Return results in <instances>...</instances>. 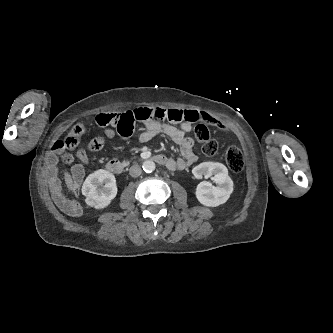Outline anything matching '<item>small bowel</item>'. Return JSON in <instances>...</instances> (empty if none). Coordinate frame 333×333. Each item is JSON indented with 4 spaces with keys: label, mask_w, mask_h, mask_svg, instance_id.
Listing matches in <instances>:
<instances>
[{
    "label": "small bowel",
    "mask_w": 333,
    "mask_h": 333,
    "mask_svg": "<svg viewBox=\"0 0 333 333\" xmlns=\"http://www.w3.org/2000/svg\"><path fill=\"white\" fill-rule=\"evenodd\" d=\"M130 121V128L122 133L123 137H128L133 130V125L136 122H141L144 125V130L139 136V140L146 142L159 134L167 135L173 142L180 146L181 158L167 159L165 164L167 168L183 169L187 164H192L197 161V156L193 152L194 141L186 134L191 131L192 125L195 123H205L207 125H216L219 130L225 131L227 126L222 123L220 119H216L206 112L198 110H183L178 108H162V107H140L125 112ZM167 120L168 123L164 121ZM108 137H114L115 131L113 129H106ZM78 159L86 164L88 162L87 156L84 152H79ZM62 160L70 163L72 157L70 155H63ZM49 187L55 203L62 210L71 215L77 213V209L73 203L66 197L62 190L61 181L58 175L57 156L51 154V163L49 165ZM83 176V170L80 166L75 167L73 170V177L79 180ZM76 188V183H74ZM78 190V189H77Z\"/></svg>",
    "instance_id": "c3829d8e"
}]
</instances>
